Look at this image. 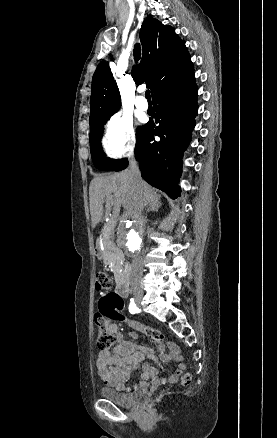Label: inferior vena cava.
<instances>
[{"instance_id":"602c4592","label":"inferior vena cava","mask_w":277,"mask_h":438,"mask_svg":"<svg viewBox=\"0 0 277 438\" xmlns=\"http://www.w3.org/2000/svg\"><path fill=\"white\" fill-rule=\"evenodd\" d=\"M129 182L132 190H138L140 184H142V178L138 164L134 156H129V170H128ZM142 278V262L140 258H134L132 262V274L130 278L131 290H141L140 282Z\"/></svg>"}]
</instances>
